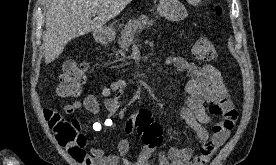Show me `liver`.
Masks as SVG:
<instances>
[{
  "mask_svg": "<svg viewBox=\"0 0 276 165\" xmlns=\"http://www.w3.org/2000/svg\"><path fill=\"white\" fill-rule=\"evenodd\" d=\"M132 0H52L43 34L45 63L58 58L72 39L101 28ZM97 17L91 20L92 15Z\"/></svg>",
  "mask_w": 276,
  "mask_h": 165,
  "instance_id": "liver-1",
  "label": "liver"
}]
</instances>
